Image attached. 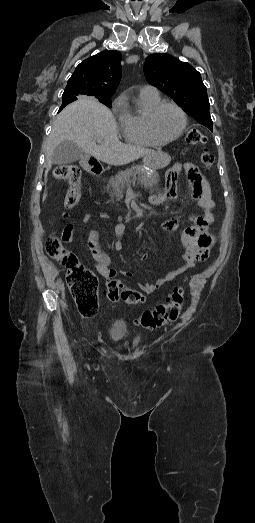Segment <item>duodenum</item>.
<instances>
[{
    "mask_svg": "<svg viewBox=\"0 0 255 523\" xmlns=\"http://www.w3.org/2000/svg\"><path fill=\"white\" fill-rule=\"evenodd\" d=\"M82 166L86 172L93 176H100L104 172L103 164L94 156H87L83 160Z\"/></svg>",
    "mask_w": 255,
    "mask_h": 523,
    "instance_id": "duodenum-1",
    "label": "duodenum"
}]
</instances>
